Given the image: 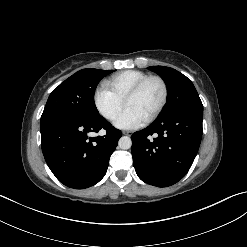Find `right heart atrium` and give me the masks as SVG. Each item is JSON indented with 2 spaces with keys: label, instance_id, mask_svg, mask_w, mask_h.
<instances>
[{
  "label": "right heart atrium",
  "instance_id": "right-heart-atrium-1",
  "mask_svg": "<svg viewBox=\"0 0 247 247\" xmlns=\"http://www.w3.org/2000/svg\"><path fill=\"white\" fill-rule=\"evenodd\" d=\"M93 101L100 115L109 121L117 117L124 104V100L105 85L95 90Z\"/></svg>",
  "mask_w": 247,
  "mask_h": 247
}]
</instances>
